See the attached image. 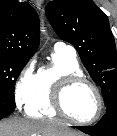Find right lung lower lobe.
Here are the masks:
<instances>
[{"label": "right lung lower lobe", "mask_w": 117, "mask_h": 136, "mask_svg": "<svg viewBox=\"0 0 117 136\" xmlns=\"http://www.w3.org/2000/svg\"><path fill=\"white\" fill-rule=\"evenodd\" d=\"M15 109V100L0 98V119L8 116Z\"/></svg>", "instance_id": "right-lung-lower-lobe-1"}]
</instances>
